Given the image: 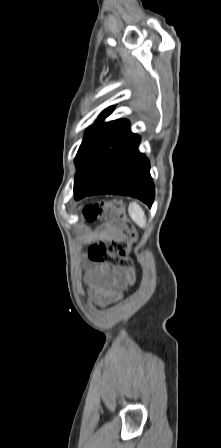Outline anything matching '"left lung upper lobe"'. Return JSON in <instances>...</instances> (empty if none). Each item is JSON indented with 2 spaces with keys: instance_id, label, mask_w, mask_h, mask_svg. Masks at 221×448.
I'll list each match as a JSON object with an SVG mask.
<instances>
[{
  "instance_id": "left-lung-upper-lobe-1",
  "label": "left lung upper lobe",
  "mask_w": 221,
  "mask_h": 448,
  "mask_svg": "<svg viewBox=\"0 0 221 448\" xmlns=\"http://www.w3.org/2000/svg\"><path fill=\"white\" fill-rule=\"evenodd\" d=\"M113 110V106L106 108L99 115L101 121L86 130L74 161L78 170L93 165L106 153L135 135L130 131L126 120L103 122Z\"/></svg>"
}]
</instances>
